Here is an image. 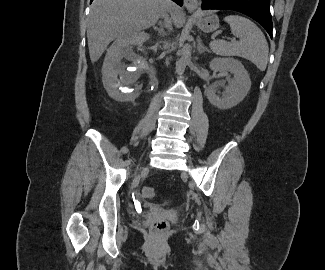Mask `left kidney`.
Returning a JSON list of instances; mask_svg holds the SVG:
<instances>
[{"label": "left kidney", "mask_w": 325, "mask_h": 270, "mask_svg": "<svg viewBox=\"0 0 325 270\" xmlns=\"http://www.w3.org/2000/svg\"><path fill=\"white\" fill-rule=\"evenodd\" d=\"M209 67L213 71L230 72L234 75V79L229 82L222 97L216 95L215 88H209L206 91L209 102L222 110L230 109L239 104L251 88V80L242 63L233 58H214Z\"/></svg>", "instance_id": "5707ae66"}]
</instances>
